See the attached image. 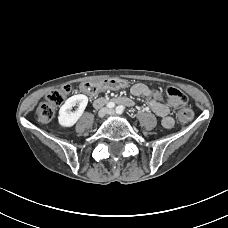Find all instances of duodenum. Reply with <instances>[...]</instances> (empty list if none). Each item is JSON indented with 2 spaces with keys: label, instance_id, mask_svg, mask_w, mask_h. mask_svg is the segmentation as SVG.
Wrapping results in <instances>:
<instances>
[{
  "label": "duodenum",
  "instance_id": "1",
  "mask_svg": "<svg viewBox=\"0 0 228 228\" xmlns=\"http://www.w3.org/2000/svg\"><path fill=\"white\" fill-rule=\"evenodd\" d=\"M114 101L119 104V105H122V106H130L132 104V101L126 97H117L114 99ZM106 102V99L104 98H98L96 101H95V105L96 106H99L103 103Z\"/></svg>",
  "mask_w": 228,
  "mask_h": 228
}]
</instances>
